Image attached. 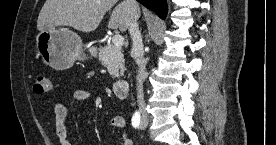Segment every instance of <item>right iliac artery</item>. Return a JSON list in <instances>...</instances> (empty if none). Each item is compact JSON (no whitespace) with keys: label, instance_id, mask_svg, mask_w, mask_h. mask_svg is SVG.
<instances>
[{"label":"right iliac artery","instance_id":"82829eb1","mask_svg":"<svg viewBox=\"0 0 276 145\" xmlns=\"http://www.w3.org/2000/svg\"><path fill=\"white\" fill-rule=\"evenodd\" d=\"M140 122H141V114L139 111H136L133 116H132V119H131V123H132V126L134 128H138L139 125H140Z\"/></svg>","mask_w":276,"mask_h":145}]
</instances>
